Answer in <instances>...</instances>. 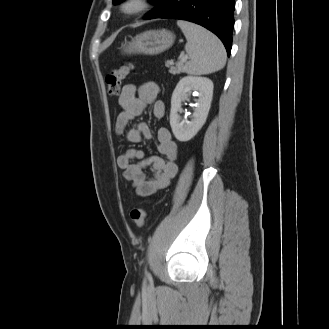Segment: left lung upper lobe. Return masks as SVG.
<instances>
[{"label":"left lung upper lobe","instance_id":"5c2ea615","mask_svg":"<svg viewBox=\"0 0 329 329\" xmlns=\"http://www.w3.org/2000/svg\"><path fill=\"white\" fill-rule=\"evenodd\" d=\"M121 1H123V0H113V4H117V3H119V2H121ZM151 3H156L158 0H149Z\"/></svg>","mask_w":329,"mask_h":329}]
</instances>
